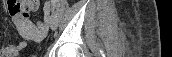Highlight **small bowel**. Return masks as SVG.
<instances>
[{
  "label": "small bowel",
  "mask_w": 172,
  "mask_h": 57,
  "mask_svg": "<svg viewBox=\"0 0 172 57\" xmlns=\"http://www.w3.org/2000/svg\"><path fill=\"white\" fill-rule=\"evenodd\" d=\"M39 1L37 0H26V1H15L10 3V12L12 22L14 24L26 21L31 12L37 10ZM27 45L26 40H21L14 45H3L0 46V56L2 57H14L20 53Z\"/></svg>",
  "instance_id": "obj_1"
}]
</instances>
